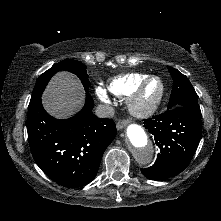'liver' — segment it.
Instances as JSON below:
<instances>
[{"label": "liver", "instance_id": "1", "mask_svg": "<svg viewBox=\"0 0 221 221\" xmlns=\"http://www.w3.org/2000/svg\"><path fill=\"white\" fill-rule=\"evenodd\" d=\"M85 100V92L79 79L69 72H58L50 80L42 97L45 110L60 119L79 111Z\"/></svg>", "mask_w": 221, "mask_h": 221}]
</instances>
